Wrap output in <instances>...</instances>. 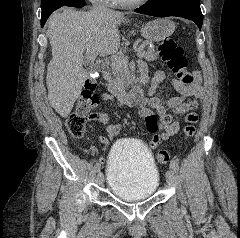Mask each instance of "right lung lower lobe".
I'll return each mask as SVG.
<instances>
[{"instance_id":"98d812e1","label":"right lung lower lobe","mask_w":240,"mask_h":238,"mask_svg":"<svg viewBox=\"0 0 240 238\" xmlns=\"http://www.w3.org/2000/svg\"><path fill=\"white\" fill-rule=\"evenodd\" d=\"M85 5V0H72L70 2V5L69 6H72V7H83ZM47 19L45 20H41V25L43 26L45 24Z\"/></svg>"}]
</instances>
